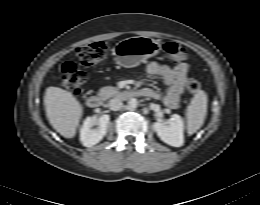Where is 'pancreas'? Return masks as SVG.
<instances>
[{
    "mask_svg": "<svg viewBox=\"0 0 260 205\" xmlns=\"http://www.w3.org/2000/svg\"><path fill=\"white\" fill-rule=\"evenodd\" d=\"M119 93V89L112 86H105L99 89L98 95L104 99H108Z\"/></svg>",
    "mask_w": 260,
    "mask_h": 205,
    "instance_id": "obj_1",
    "label": "pancreas"
}]
</instances>
